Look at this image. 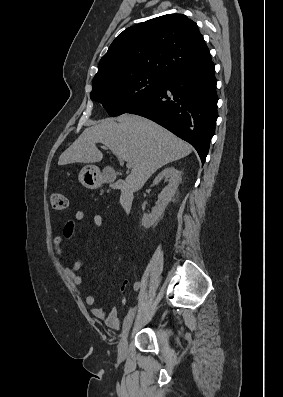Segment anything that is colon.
I'll list each match as a JSON object with an SVG mask.
<instances>
[{"instance_id": "5ec220e1", "label": "colon", "mask_w": 283, "mask_h": 397, "mask_svg": "<svg viewBox=\"0 0 283 397\" xmlns=\"http://www.w3.org/2000/svg\"><path fill=\"white\" fill-rule=\"evenodd\" d=\"M51 205L55 210H64L68 206L67 197L61 193H53L51 195Z\"/></svg>"}]
</instances>
